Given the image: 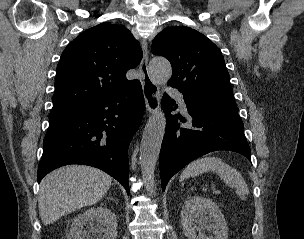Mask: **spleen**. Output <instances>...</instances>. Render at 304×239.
Returning <instances> with one entry per match:
<instances>
[{
	"label": "spleen",
	"instance_id": "3e777b00",
	"mask_svg": "<svg viewBox=\"0 0 304 239\" xmlns=\"http://www.w3.org/2000/svg\"><path fill=\"white\" fill-rule=\"evenodd\" d=\"M216 173L228 186L236 189V194L246 200L249 194L248 186L241 174L217 157H203L190 163L181 173L184 180L206 172Z\"/></svg>",
	"mask_w": 304,
	"mask_h": 239
}]
</instances>
